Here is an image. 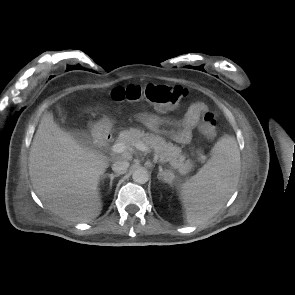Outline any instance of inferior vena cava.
I'll list each match as a JSON object with an SVG mask.
<instances>
[{
    "instance_id": "inferior-vena-cava-1",
    "label": "inferior vena cava",
    "mask_w": 295,
    "mask_h": 295,
    "mask_svg": "<svg viewBox=\"0 0 295 295\" xmlns=\"http://www.w3.org/2000/svg\"><path fill=\"white\" fill-rule=\"evenodd\" d=\"M129 167V162L126 160H119L112 164V170L117 174H124L126 173Z\"/></svg>"
}]
</instances>
